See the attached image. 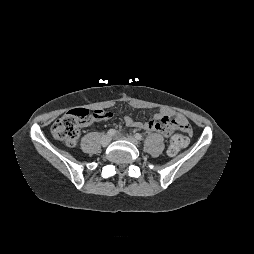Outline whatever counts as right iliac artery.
Returning <instances> with one entry per match:
<instances>
[{
	"instance_id": "right-iliac-artery-1",
	"label": "right iliac artery",
	"mask_w": 254,
	"mask_h": 254,
	"mask_svg": "<svg viewBox=\"0 0 254 254\" xmlns=\"http://www.w3.org/2000/svg\"><path fill=\"white\" fill-rule=\"evenodd\" d=\"M107 134H108L109 136H114V135L116 134V130L110 129V130L107 132Z\"/></svg>"
}]
</instances>
